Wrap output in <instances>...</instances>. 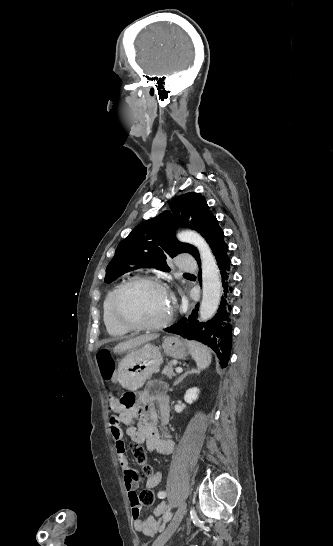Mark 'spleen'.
<instances>
[{
  "label": "spleen",
  "mask_w": 333,
  "mask_h": 546,
  "mask_svg": "<svg viewBox=\"0 0 333 546\" xmlns=\"http://www.w3.org/2000/svg\"><path fill=\"white\" fill-rule=\"evenodd\" d=\"M190 354L192 358L196 361L197 367L199 370L207 368L211 363V352L209 348L202 343L196 341L188 342Z\"/></svg>",
  "instance_id": "spleen-1"
}]
</instances>
